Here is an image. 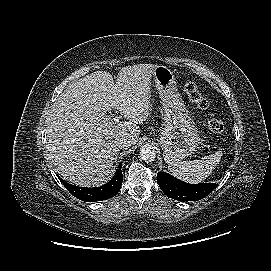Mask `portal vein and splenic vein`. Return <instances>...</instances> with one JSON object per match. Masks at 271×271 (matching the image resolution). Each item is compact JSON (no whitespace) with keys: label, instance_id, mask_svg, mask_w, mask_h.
I'll return each mask as SVG.
<instances>
[{"label":"portal vein and splenic vein","instance_id":"portal-vein-and-splenic-vein-1","mask_svg":"<svg viewBox=\"0 0 271 271\" xmlns=\"http://www.w3.org/2000/svg\"><path fill=\"white\" fill-rule=\"evenodd\" d=\"M113 116L108 117V120H113L115 123H118L120 121V116H114V118H112Z\"/></svg>","mask_w":271,"mask_h":271}]
</instances>
